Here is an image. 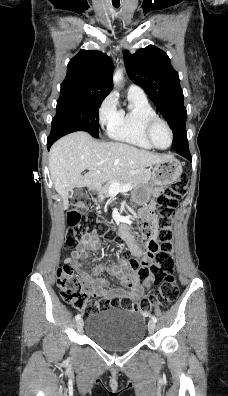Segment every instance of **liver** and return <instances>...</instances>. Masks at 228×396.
I'll return each mask as SVG.
<instances>
[{"label":"liver","instance_id":"1","mask_svg":"<svg viewBox=\"0 0 228 396\" xmlns=\"http://www.w3.org/2000/svg\"><path fill=\"white\" fill-rule=\"evenodd\" d=\"M169 158V155L148 152L126 143L99 142L79 131L62 137L51 147L49 170L66 209L69 191L75 187L99 191L105 182ZM86 169L88 172L83 176Z\"/></svg>","mask_w":228,"mask_h":396}]
</instances>
